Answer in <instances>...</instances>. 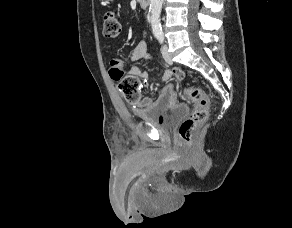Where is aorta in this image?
Returning <instances> with one entry per match:
<instances>
[{"mask_svg": "<svg viewBox=\"0 0 292 228\" xmlns=\"http://www.w3.org/2000/svg\"><path fill=\"white\" fill-rule=\"evenodd\" d=\"M164 0H150V20L153 33L161 32L160 14Z\"/></svg>", "mask_w": 292, "mask_h": 228, "instance_id": "aorta-1", "label": "aorta"}]
</instances>
